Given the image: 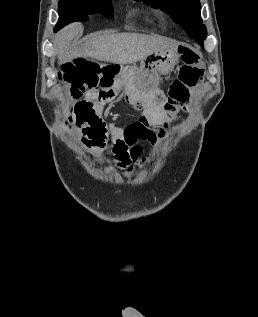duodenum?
<instances>
[{
	"instance_id": "obj_1",
	"label": "duodenum",
	"mask_w": 258,
	"mask_h": 317,
	"mask_svg": "<svg viewBox=\"0 0 258 317\" xmlns=\"http://www.w3.org/2000/svg\"><path fill=\"white\" fill-rule=\"evenodd\" d=\"M129 72V70H125L120 79L102 85L100 88L90 89L86 95L87 100L99 107L113 102L122 93Z\"/></svg>"
}]
</instances>
